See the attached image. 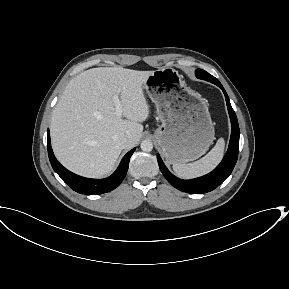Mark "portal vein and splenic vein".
<instances>
[{
  "label": "portal vein and splenic vein",
  "instance_id": "1",
  "mask_svg": "<svg viewBox=\"0 0 289 289\" xmlns=\"http://www.w3.org/2000/svg\"><path fill=\"white\" fill-rule=\"evenodd\" d=\"M112 99H113V102H114V105H115L116 114L118 116H121L122 115V111H123V106H122L118 96L114 95Z\"/></svg>",
  "mask_w": 289,
  "mask_h": 289
}]
</instances>
